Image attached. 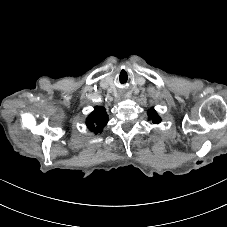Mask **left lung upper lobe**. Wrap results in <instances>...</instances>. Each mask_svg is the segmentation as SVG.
<instances>
[{"label": "left lung upper lobe", "instance_id": "5c2ea615", "mask_svg": "<svg viewBox=\"0 0 227 227\" xmlns=\"http://www.w3.org/2000/svg\"><path fill=\"white\" fill-rule=\"evenodd\" d=\"M148 118L155 124L160 123V121H161V118L158 116V114L156 113V111L153 108H151L148 111Z\"/></svg>", "mask_w": 227, "mask_h": 227}]
</instances>
